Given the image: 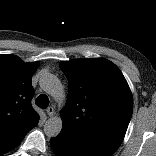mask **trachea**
<instances>
[{"instance_id": "trachea-1", "label": "trachea", "mask_w": 156, "mask_h": 156, "mask_svg": "<svg viewBox=\"0 0 156 156\" xmlns=\"http://www.w3.org/2000/svg\"><path fill=\"white\" fill-rule=\"evenodd\" d=\"M36 105L40 108H47L49 105V98L45 94H41L36 99Z\"/></svg>"}]
</instances>
